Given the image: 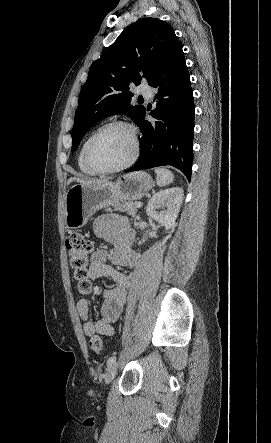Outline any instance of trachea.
Segmentation results:
<instances>
[{
    "label": "trachea",
    "instance_id": "obj_1",
    "mask_svg": "<svg viewBox=\"0 0 271 443\" xmlns=\"http://www.w3.org/2000/svg\"><path fill=\"white\" fill-rule=\"evenodd\" d=\"M138 101H139V102H143L144 99H143V98H139Z\"/></svg>",
    "mask_w": 271,
    "mask_h": 443
}]
</instances>
